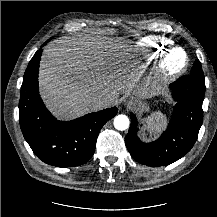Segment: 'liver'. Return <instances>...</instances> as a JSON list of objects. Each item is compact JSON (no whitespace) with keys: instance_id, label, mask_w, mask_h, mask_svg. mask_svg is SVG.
Wrapping results in <instances>:
<instances>
[{"instance_id":"liver-1","label":"liver","mask_w":217,"mask_h":217,"mask_svg":"<svg viewBox=\"0 0 217 217\" xmlns=\"http://www.w3.org/2000/svg\"><path fill=\"white\" fill-rule=\"evenodd\" d=\"M122 46L90 36H63L43 50L39 71L40 94L58 119L70 120L91 112L90 97L117 103L120 94L152 95L149 85H138L140 72L116 52ZM110 105V106H111ZM109 107V106H107Z\"/></svg>"}]
</instances>
